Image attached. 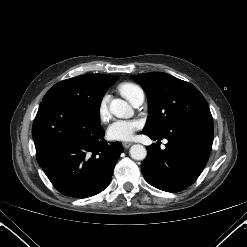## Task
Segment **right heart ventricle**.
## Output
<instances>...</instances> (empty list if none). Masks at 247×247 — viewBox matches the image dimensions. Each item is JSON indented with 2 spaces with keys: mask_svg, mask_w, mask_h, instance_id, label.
I'll return each instance as SVG.
<instances>
[{
  "mask_svg": "<svg viewBox=\"0 0 247 247\" xmlns=\"http://www.w3.org/2000/svg\"><path fill=\"white\" fill-rule=\"evenodd\" d=\"M118 90L129 102L142 91L139 86L131 82L121 83Z\"/></svg>",
  "mask_w": 247,
  "mask_h": 247,
  "instance_id": "obj_1",
  "label": "right heart ventricle"
}]
</instances>
